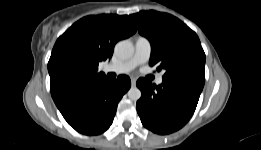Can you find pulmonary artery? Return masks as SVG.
I'll return each mask as SVG.
<instances>
[{
  "label": "pulmonary artery",
  "instance_id": "e3ab8cb5",
  "mask_svg": "<svg viewBox=\"0 0 261 150\" xmlns=\"http://www.w3.org/2000/svg\"><path fill=\"white\" fill-rule=\"evenodd\" d=\"M151 43L145 37H138L135 42V50L133 55L120 63L110 64L105 67L106 72H114L117 74H124L132 71L137 66L146 63L151 56ZM163 78L162 76H158L156 79V83L158 85L162 84Z\"/></svg>",
  "mask_w": 261,
  "mask_h": 150
}]
</instances>
